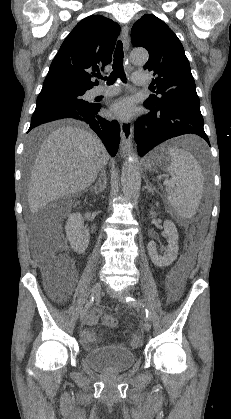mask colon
<instances>
[{
    "label": "colon",
    "instance_id": "obj_1",
    "mask_svg": "<svg viewBox=\"0 0 231 419\" xmlns=\"http://www.w3.org/2000/svg\"><path fill=\"white\" fill-rule=\"evenodd\" d=\"M43 271L46 279L52 286L64 282L65 288L74 273L72 265L60 251L49 253L44 257ZM103 324L109 328H115L118 325V320L111 314H105L103 316ZM138 344L139 339L133 338L132 345L137 346Z\"/></svg>",
    "mask_w": 231,
    "mask_h": 419
}]
</instances>
